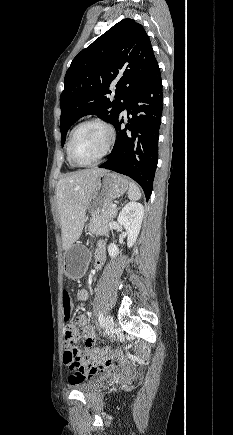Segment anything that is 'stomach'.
Instances as JSON below:
<instances>
[{
	"instance_id": "1",
	"label": "stomach",
	"mask_w": 233,
	"mask_h": 435,
	"mask_svg": "<svg viewBox=\"0 0 233 435\" xmlns=\"http://www.w3.org/2000/svg\"><path fill=\"white\" fill-rule=\"evenodd\" d=\"M129 188V181L118 174L106 171L97 177L94 193L88 205L90 215L99 214L101 209L114 199L122 196ZM89 251L85 246L74 244L63 254V269L73 280L85 275Z\"/></svg>"
}]
</instances>
